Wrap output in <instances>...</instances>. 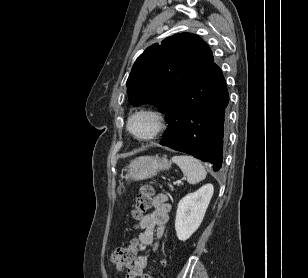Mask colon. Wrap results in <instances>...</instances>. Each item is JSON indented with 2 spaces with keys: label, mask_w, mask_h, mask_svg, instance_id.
I'll list each match as a JSON object with an SVG mask.
<instances>
[{
  "label": "colon",
  "mask_w": 308,
  "mask_h": 278,
  "mask_svg": "<svg viewBox=\"0 0 308 278\" xmlns=\"http://www.w3.org/2000/svg\"><path fill=\"white\" fill-rule=\"evenodd\" d=\"M153 202V189L149 185H143L136 196L135 206L131 211L134 218L138 219L143 212L149 209ZM137 253L136 241H131L128 245L117 248L111 256L112 262L119 269H128L132 266ZM161 264H165V259L160 260ZM142 278H154L153 274H145Z\"/></svg>",
  "instance_id": "1"
}]
</instances>
